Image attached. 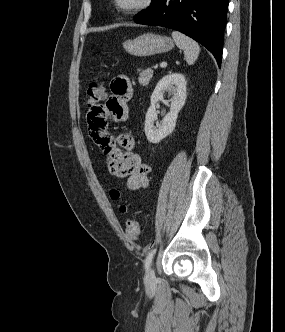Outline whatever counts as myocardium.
Returning a JSON list of instances; mask_svg holds the SVG:
<instances>
[{"label":"myocardium","instance_id":"1","mask_svg":"<svg viewBox=\"0 0 285 332\" xmlns=\"http://www.w3.org/2000/svg\"><path fill=\"white\" fill-rule=\"evenodd\" d=\"M155 0H136L130 5H123L120 0H111L112 7L120 14L134 15L150 9Z\"/></svg>","mask_w":285,"mask_h":332}]
</instances>
